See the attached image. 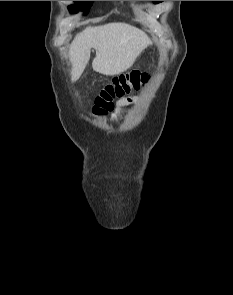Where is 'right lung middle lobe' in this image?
Here are the masks:
<instances>
[{
    "instance_id": "right-lung-middle-lobe-1",
    "label": "right lung middle lobe",
    "mask_w": 233,
    "mask_h": 295,
    "mask_svg": "<svg viewBox=\"0 0 233 295\" xmlns=\"http://www.w3.org/2000/svg\"><path fill=\"white\" fill-rule=\"evenodd\" d=\"M75 5L69 6L68 9L70 13H77L78 11H85L87 14L90 10V7L93 4V1H75Z\"/></svg>"
}]
</instances>
